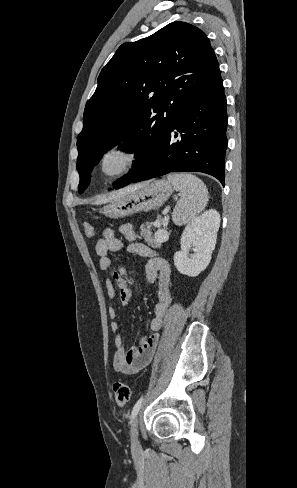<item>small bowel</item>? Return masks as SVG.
<instances>
[{
    "instance_id": "1",
    "label": "small bowel",
    "mask_w": 297,
    "mask_h": 488,
    "mask_svg": "<svg viewBox=\"0 0 297 488\" xmlns=\"http://www.w3.org/2000/svg\"><path fill=\"white\" fill-rule=\"evenodd\" d=\"M118 231L128 245L117 237L116 230L113 228H105L95 245V252L99 258L98 268L101 272L108 274L104 280V286L110 299L114 300L118 296L123 305L128 304L132 299V287L135 284L133 278L121 266L112 269L113 261L110 257V254L124 249L148 258L145 268L146 284L155 283L157 285L158 301L154 306V316L149 326L151 333L144 336L137 346L127 351L123 346L120 325L116 321L117 310L113 306L108 308V315L112 319L110 329L115 336L113 367L119 374L132 375L145 368L154 356L159 339L157 332L162 328L164 318L172 302L171 269L169 263L160 257L154 249L137 240V233L131 224L121 225Z\"/></svg>"
}]
</instances>
